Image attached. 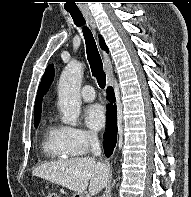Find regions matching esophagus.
I'll return each mask as SVG.
<instances>
[{
  "label": "esophagus",
  "mask_w": 191,
  "mask_h": 197,
  "mask_svg": "<svg viewBox=\"0 0 191 197\" xmlns=\"http://www.w3.org/2000/svg\"><path fill=\"white\" fill-rule=\"evenodd\" d=\"M84 16H85L86 20L88 21V23L90 24V26L93 29H95L96 24H95L93 17L91 16V14L85 12ZM103 62H104V68H105L106 78H107V86H112L113 85L112 64H111V60H110L108 54H106L105 52L103 53Z\"/></svg>",
  "instance_id": "34e87169"
}]
</instances>
